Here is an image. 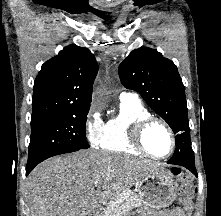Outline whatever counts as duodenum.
Masks as SVG:
<instances>
[{"label": "duodenum", "mask_w": 221, "mask_h": 216, "mask_svg": "<svg viewBox=\"0 0 221 216\" xmlns=\"http://www.w3.org/2000/svg\"><path fill=\"white\" fill-rule=\"evenodd\" d=\"M90 216H96V214H95V213H93V214H91Z\"/></svg>", "instance_id": "1"}]
</instances>
